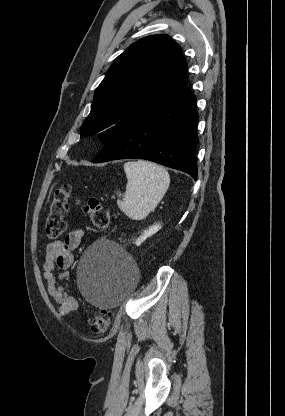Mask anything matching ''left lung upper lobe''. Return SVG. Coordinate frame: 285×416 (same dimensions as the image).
Instances as JSON below:
<instances>
[{
    "label": "left lung upper lobe",
    "instance_id": "5c2ea615",
    "mask_svg": "<svg viewBox=\"0 0 285 416\" xmlns=\"http://www.w3.org/2000/svg\"><path fill=\"white\" fill-rule=\"evenodd\" d=\"M187 62L167 35L133 43L110 66L95 91L81 137L107 143L130 123L156 110L187 87Z\"/></svg>",
    "mask_w": 285,
    "mask_h": 416
}]
</instances>
